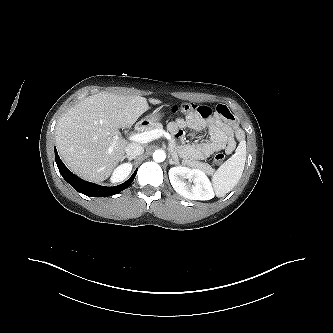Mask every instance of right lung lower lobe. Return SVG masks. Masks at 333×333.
Returning a JSON list of instances; mask_svg holds the SVG:
<instances>
[{"instance_id":"98d812e1","label":"right lung lower lobe","mask_w":333,"mask_h":333,"mask_svg":"<svg viewBox=\"0 0 333 333\" xmlns=\"http://www.w3.org/2000/svg\"><path fill=\"white\" fill-rule=\"evenodd\" d=\"M55 160L62 177L78 192L91 197H104V196H112L118 194L122 190L126 189L134 180L136 176V171L134 174L123 184L114 186V187H106L97 185L95 183L87 182L74 175L71 171L67 169V167L60 160V157L55 149Z\"/></svg>"}]
</instances>
